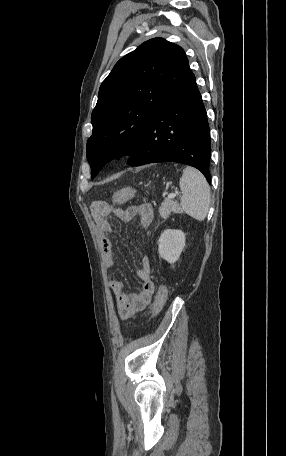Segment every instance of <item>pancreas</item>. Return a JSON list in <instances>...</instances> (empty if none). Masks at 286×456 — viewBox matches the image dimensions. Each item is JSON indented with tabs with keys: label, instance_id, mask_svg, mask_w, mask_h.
Wrapping results in <instances>:
<instances>
[{
	"label": "pancreas",
	"instance_id": "obj_1",
	"mask_svg": "<svg viewBox=\"0 0 286 456\" xmlns=\"http://www.w3.org/2000/svg\"><path fill=\"white\" fill-rule=\"evenodd\" d=\"M171 212L180 214L183 211H182L180 205L176 201H172L170 199H165L159 208L160 216L163 219H167L169 217V215L171 214Z\"/></svg>",
	"mask_w": 286,
	"mask_h": 456
}]
</instances>
